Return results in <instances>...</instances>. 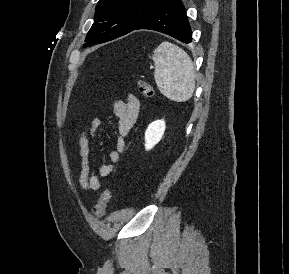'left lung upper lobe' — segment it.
<instances>
[{
  "label": "left lung upper lobe",
  "instance_id": "obj_1",
  "mask_svg": "<svg viewBox=\"0 0 289 274\" xmlns=\"http://www.w3.org/2000/svg\"><path fill=\"white\" fill-rule=\"evenodd\" d=\"M167 0H99L85 42L100 44L133 31ZM90 44H84V47Z\"/></svg>",
  "mask_w": 289,
  "mask_h": 274
}]
</instances>
